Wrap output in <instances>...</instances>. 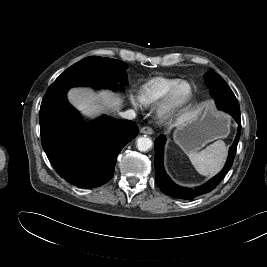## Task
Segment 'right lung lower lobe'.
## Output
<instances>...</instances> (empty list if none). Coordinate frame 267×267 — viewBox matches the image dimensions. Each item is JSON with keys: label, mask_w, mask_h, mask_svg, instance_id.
<instances>
[{"label": "right lung lower lobe", "mask_w": 267, "mask_h": 267, "mask_svg": "<svg viewBox=\"0 0 267 267\" xmlns=\"http://www.w3.org/2000/svg\"><path fill=\"white\" fill-rule=\"evenodd\" d=\"M66 93L63 90L42 100V147L56 172L67 182L82 188L101 186L113 176L118 154L137 136L139 128L133 121L107 116L82 125Z\"/></svg>", "instance_id": "1"}]
</instances>
